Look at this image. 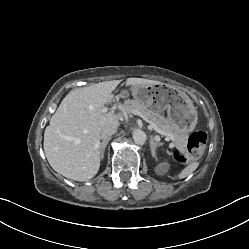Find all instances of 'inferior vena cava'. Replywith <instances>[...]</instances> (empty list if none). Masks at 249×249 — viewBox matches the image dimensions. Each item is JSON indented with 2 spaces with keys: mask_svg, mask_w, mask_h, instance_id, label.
Listing matches in <instances>:
<instances>
[{
  "mask_svg": "<svg viewBox=\"0 0 249 249\" xmlns=\"http://www.w3.org/2000/svg\"><path fill=\"white\" fill-rule=\"evenodd\" d=\"M116 132H117L116 125H105L100 130V138L103 140L110 139L111 136L114 135Z\"/></svg>",
  "mask_w": 249,
  "mask_h": 249,
  "instance_id": "inferior-vena-cava-1",
  "label": "inferior vena cava"
}]
</instances>
